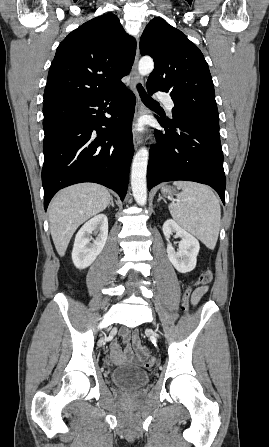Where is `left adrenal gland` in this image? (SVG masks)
<instances>
[{
    "label": "left adrenal gland",
    "mask_w": 269,
    "mask_h": 447,
    "mask_svg": "<svg viewBox=\"0 0 269 447\" xmlns=\"http://www.w3.org/2000/svg\"><path fill=\"white\" fill-rule=\"evenodd\" d=\"M160 200H163V202H166V200H164V198H162L161 194H158L157 202H160Z\"/></svg>",
    "instance_id": "obj_1"
}]
</instances>
